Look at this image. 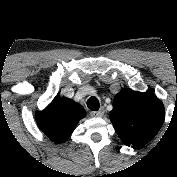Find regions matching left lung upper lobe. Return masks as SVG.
Segmentation results:
<instances>
[{
	"mask_svg": "<svg viewBox=\"0 0 177 177\" xmlns=\"http://www.w3.org/2000/svg\"><path fill=\"white\" fill-rule=\"evenodd\" d=\"M163 118V106L156 98L133 91L118 93L110 113V120L122 142L133 147L148 143L157 134Z\"/></svg>",
	"mask_w": 177,
	"mask_h": 177,
	"instance_id": "left-lung-upper-lobe-1",
	"label": "left lung upper lobe"
}]
</instances>
